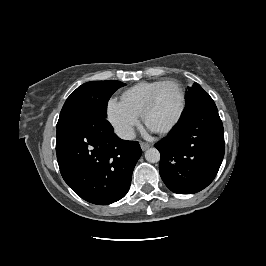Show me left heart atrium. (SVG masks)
Masks as SVG:
<instances>
[{
	"mask_svg": "<svg viewBox=\"0 0 266 266\" xmlns=\"http://www.w3.org/2000/svg\"><path fill=\"white\" fill-rule=\"evenodd\" d=\"M148 128H149L151 131H154V129H152L151 127L148 126Z\"/></svg>",
	"mask_w": 266,
	"mask_h": 266,
	"instance_id": "obj_1",
	"label": "left heart atrium"
}]
</instances>
